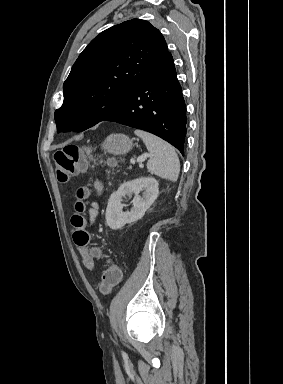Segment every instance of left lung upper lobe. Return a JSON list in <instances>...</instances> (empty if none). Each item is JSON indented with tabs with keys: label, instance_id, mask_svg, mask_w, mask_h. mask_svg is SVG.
I'll use <instances>...</instances> for the list:
<instances>
[{
	"label": "left lung upper lobe",
	"instance_id": "1",
	"mask_svg": "<svg viewBox=\"0 0 283 384\" xmlns=\"http://www.w3.org/2000/svg\"><path fill=\"white\" fill-rule=\"evenodd\" d=\"M168 51L161 32L131 19L96 36L64 82V102L55 111L58 132L84 131L102 121Z\"/></svg>",
	"mask_w": 283,
	"mask_h": 384
}]
</instances>
